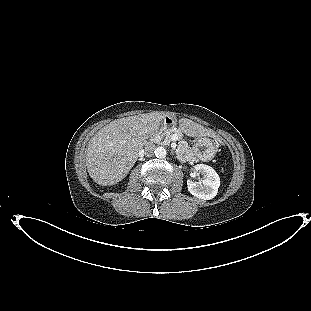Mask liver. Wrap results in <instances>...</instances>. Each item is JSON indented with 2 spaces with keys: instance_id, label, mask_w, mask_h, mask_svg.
Segmentation results:
<instances>
[{
  "instance_id": "6515ba94",
  "label": "liver",
  "mask_w": 311,
  "mask_h": 311,
  "mask_svg": "<svg viewBox=\"0 0 311 311\" xmlns=\"http://www.w3.org/2000/svg\"><path fill=\"white\" fill-rule=\"evenodd\" d=\"M166 117L164 113H146L114 120L101 128L89 141L86 165L90 177L99 185L111 186L122 181L146 144ZM179 126L192 136H204L205 129L186 118Z\"/></svg>"
}]
</instances>
